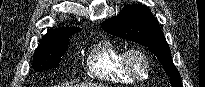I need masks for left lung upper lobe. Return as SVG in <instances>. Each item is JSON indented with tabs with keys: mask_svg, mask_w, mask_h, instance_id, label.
<instances>
[{
	"mask_svg": "<svg viewBox=\"0 0 205 87\" xmlns=\"http://www.w3.org/2000/svg\"><path fill=\"white\" fill-rule=\"evenodd\" d=\"M101 26L104 31L114 36L148 47L163 65L172 87H182L169 45L158 21L146 6L138 4L125 6L118 16L106 19Z\"/></svg>",
	"mask_w": 205,
	"mask_h": 87,
	"instance_id": "1",
	"label": "left lung upper lobe"
}]
</instances>
